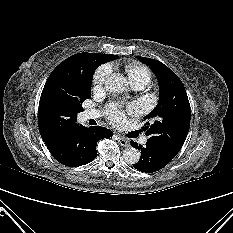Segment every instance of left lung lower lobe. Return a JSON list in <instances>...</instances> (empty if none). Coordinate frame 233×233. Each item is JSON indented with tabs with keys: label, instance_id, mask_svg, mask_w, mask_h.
<instances>
[{
	"label": "left lung lower lobe",
	"instance_id": "0a47b994",
	"mask_svg": "<svg viewBox=\"0 0 233 233\" xmlns=\"http://www.w3.org/2000/svg\"><path fill=\"white\" fill-rule=\"evenodd\" d=\"M131 145L141 150V158L136 164H133V167L142 172H156L165 167L175 157V155L151 141H147L145 147L134 141H131Z\"/></svg>",
	"mask_w": 233,
	"mask_h": 233
}]
</instances>
